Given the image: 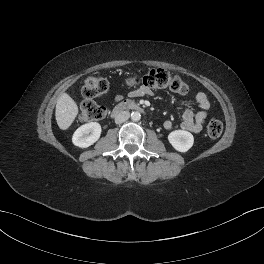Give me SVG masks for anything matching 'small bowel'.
Here are the masks:
<instances>
[{"mask_svg": "<svg viewBox=\"0 0 264 264\" xmlns=\"http://www.w3.org/2000/svg\"><path fill=\"white\" fill-rule=\"evenodd\" d=\"M149 89L145 87H139L130 91V97H141L144 95H149ZM122 99L121 95L115 97V101H120ZM196 102L199 106V111L194 112L190 108H186L182 114L180 126L182 129L189 131L193 134H199L203 128V125L208 116L209 110L211 108L210 101L203 92H198L195 95ZM173 126L172 121L167 120L164 122L163 127L166 130L171 129Z\"/></svg>", "mask_w": 264, "mask_h": 264, "instance_id": "obj_1", "label": "small bowel"}]
</instances>
